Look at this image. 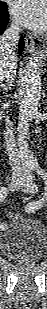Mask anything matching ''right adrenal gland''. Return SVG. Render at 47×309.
I'll use <instances>...</instances> for the list:
<instances>
[{
    "label": "right adrenal gland",
    "instance_id": "right-adrenal-gland-1",
    "mask_svg": "<svg viewBox=\"0 0 47 309\" xmlns=\"http://www.w3.org/2000/svg\"><path fill=\"white\" fill-rule=\"evenodd\" d=\"M9 86L8 85H5L3 83L0 84V89L1 90H8Z\"/></svg>",
    "mask_w": 47,
    "mask_h": 309
}]
</instances>
